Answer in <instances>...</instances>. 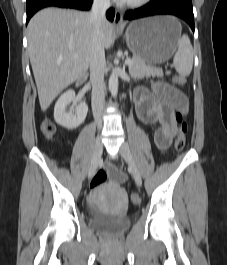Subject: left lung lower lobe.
<instances>
[{"instance_id": "obj_1", "label": "left lung lower lobe", "mask_w": 227, "mask_h": 265, "mask_svg": "<svg viewBox=\"0 0 227 265\" xmlns=\"http://www.w3.org/2000/svg\"><path fill=\"white\" fill-rule=\"evenodd\" d=\"M171 14L185 20L194 31L192 0H151L147 5L127 11L125 19L132 20L152 15Z\"/></svg>"}]
</instances>
